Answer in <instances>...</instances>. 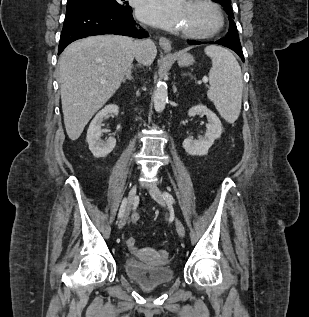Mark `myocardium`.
Wrapping results in <instances>:
<instances>
[{"label":"myocardium","instance_id":"myocardium-1","mask_svg":"<svg viewBox=\"0 0 309 317\" xmlns=\"http://www.w3.org/2000/svg\"><path fill=\"white\" fill-rule=\"evenodd\" d=\"M191 3L207 7L214 16V24L207 30H184L182 35L190 39H208L218 34L224 26V17L220 7L212 0H191Z\"/></svg>","mask_w":309,"mask_h":317}]
</instances>
